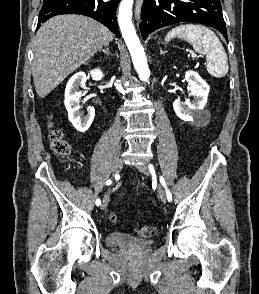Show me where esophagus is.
Instances as JSON below:
<instances>
[{
  "instance_id": "34e87169",
  "label": "esophagus",
  "mask_w": 259,
  "mask_h": 294,
  "mask_svg": "<svg viewBox=\"0 0 259 294\" xmlns=\"http://www.w3.org/2000/svg\"><path fill=\"white\" fill-rule=\"evenodd\" d=\"M142 4H143V0H136L135 2V15L137 19L140 18Z\"/></svg>"
}]
</instances>
